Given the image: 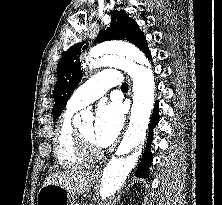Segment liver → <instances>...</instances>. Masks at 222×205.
Returning a JSON list of instances; mask_svg holds the SVG:
<instances>
[{"label":"liver","mask_w":222,"mask_h":205,"mask_svg":"<svg viewBox=\"0 0 222 205\" xmlns=\"http://www.w3.org/2000/svg\"><path fill=\"white\" fill-rule=\"evenodd\" d=\"M93 173L90 171L66 170L50 174L43 185H59L71 194H82L89 190Z\"/></svg>","instance_id":"obj_1"}]
</instances>
